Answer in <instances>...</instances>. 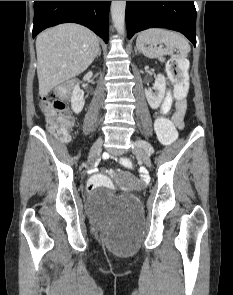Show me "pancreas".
<instances>
[{
  "instance_id": "1",
  "label": "pancreas",
  "mask_w": 233,
  "mask_h": 295,
  "mask_svg": "<svg viewBox=\"0 0 233 295\" xmlns=\"http://www.w3.org/2000/svg\"><path fill=\"white\" fill-rule=\"evenodd\" d=\"M159 60H160L161 62H164V61H165V59H164L163 57L159 58Z\"/></svg>"
}]
</instances>
